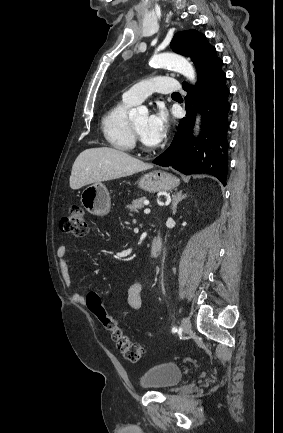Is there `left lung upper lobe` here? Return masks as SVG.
I'll use <instances>...</instances> for the list:
<instances>
[{"mask_svg": "<svg viewBox=\"0 0 283 433\" xmlns=\"http://www.w3.org/2000/svg\"><path fill=\"white\" fill-rule=\"evenodd\" d=\"M170 46L174 52L190 57L193 62L211 47L205 35L195 30L176 33Z\"/></svg>", "mask_w": 283, "mask_h": 433, "instance_id": "5c2ea615", "label": "left lung upper lobe"}]
</instances>
